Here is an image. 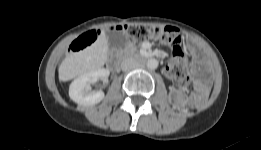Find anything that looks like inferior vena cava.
I'll return each mask as SVG.
<instances>
[{"mask_svg":"<svg viewBox=\"0 0 261 150\" xmlns=\"http://www.w3.org/2000/svg\"><path fill=\"white\" fill-rule=\"evenodd\" d=\"M139 66V63L133 57L126 58L121 63V68L123 71H129L135 69Z\"/></svg>","mask_w":261,"mask_h":150,"instance_id":"602c4592","label":"inferior vena cava"}]
</instances>
